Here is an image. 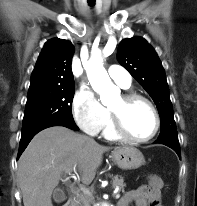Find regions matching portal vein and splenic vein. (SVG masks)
<instances>
[{
  "label": "portal vein and splenic vein",
  "instance_id": "portal-vein-and-splenic-vein-1",
  "mask_svg": "<svg viewBox=\"0 0 197 206\" xmlns=\"http://www.w3.org/2000/svg\"><path fill=\"white\" fill-rule=\"evenodd\" d=\"M70 172H71V171H68L67 173L70 174ZM115 198H116V199H119V198H120V193H116V194H115Z\"/></svg>",
  "mask_w": 197,
  "mask_h": 206
}]
</instances>
